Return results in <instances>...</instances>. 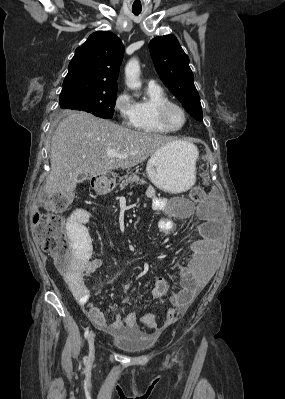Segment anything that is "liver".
<instances>
[{"label":"liver","mask_w":285,"mask_h":399,"mask_svg":"<svg viewBox=\"0 0 285 399\" xmlns=\"http://www.w3.org/2000/svg\"><path fill=\"white\" fill-rule=\"evenodd\" d=\"M171 142L164 135L136 131L73 111L59 123L52 137L51 171L44 191L68 196L76 189L81 173L97 177L113 169H130ZM110 150L126 157H109Z\"/></svg>","instance_id":"liver-1"}]
</instances>
